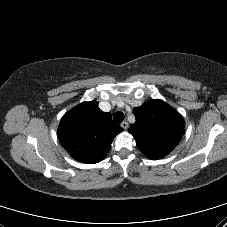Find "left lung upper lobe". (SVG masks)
<instances>
[{
    "label": "left lung upper lobe",
    "mask_w": 227,
    "mask_h": 227,
    "mask_svg": "<svg viewBox=\"0 0 227 227\" xmlns=\"http://www.w3.org/2000/svg\"><path fill=\"white\" fill-rule=\"evenodd\" d=\"M136 123L128 129L139 150L150 159L168 155L184 134L182 116L162 100H151L133 110Z\"/></svg>",
    "instance_id": "left-lung-upper-lobe-1"
}]
</instances>
